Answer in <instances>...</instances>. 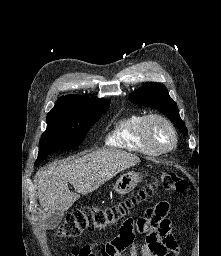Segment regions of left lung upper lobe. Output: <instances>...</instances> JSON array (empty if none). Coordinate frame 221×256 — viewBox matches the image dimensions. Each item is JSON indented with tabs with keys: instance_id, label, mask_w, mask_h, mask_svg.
I'll return each mask as SVG.
<instances>
[{
	"instance_id": "1",
	"label": "left lung upper lobe",
	"mask_w": 221,
	"mask_h": 256,
	"mask_svg": "<svg viewBox=\"0 0 221 256\" xmlns=\"http://www.w3.org/2000/svg\"><path fill=\"white\" fill-rule=\"evenodd\" d=\"M129 100L133 103L159 109L166 114L179 128L180 132L187 135V128L179 116L176 103L170 98L167 88L162 83H148L140 87L130 95ZM190 163L198 164L197 153H193Z\"/></svg>"
}]
</instances>
